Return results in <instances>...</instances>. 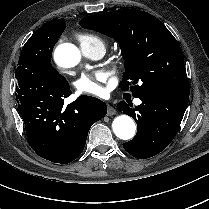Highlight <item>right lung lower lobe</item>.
Wrapping results in <instances>:
<instances>
[{"mask_svg": "<svg viewBox=\"0 0 209 209\" xmlns=\"http://www.w3.org/2000/svg\"><path fill=\"white\" fill-rule=\"evenodd\" d=\"M16 101L29 144L40 157L67 164L83 151L90 127L107 113L106 104L91 96L71 95L69 84L25 76L16 85Z\"/></svg>", "mask_w": 209, "mask_h": 209, "instance_id": "right-lung-lower-lobe-1", "label": "right lung lower lobe"}]
</instances>
